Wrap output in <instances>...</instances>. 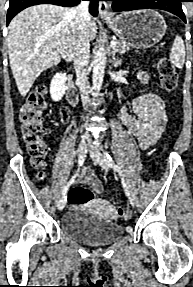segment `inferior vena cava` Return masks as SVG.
<instances>
[{"mask_svg": "<svg viewBox=\"0 0 193 287\" xmlns=\"http://www.w3.org/2000/svg\"><path fill=\"white\" fill-rule=\"evenodd\" d=\"M88 7L89 2L82 1L76 7L71 9V12L75 15L78 25V40L74 52V67L84 107L87 106L90 90L88 78L86 75V69L90 58V39L88 34V27L91 17ZM83 138L88 139L89 135L85 133Z\"/></svg>", "mask_w": 193, "mask_h": 287, "instance_id": "inferior-vena-cava-1", "label": "inferior vena cava"}]
</instances>
